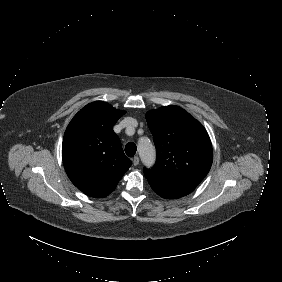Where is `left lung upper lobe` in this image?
<instances>
[{
  "mask_svg": "<svg viewBox=\"0 0 282 282\" xmlns=\"http://www.w3.org/2000/svg\"><path fill=\"white\" fill-rule=\"evenodd\" d=\"M157 151L155 166L144 169L166 184L196 187L209 172L213 151L203 125L184 109L169 105L146 114Z\"/></svg>",
  "mask_w": 282,
  "mask_h": 282,
  "instance_id": "1",
  "label": "left lung upper lobe"
}]
</instances>
